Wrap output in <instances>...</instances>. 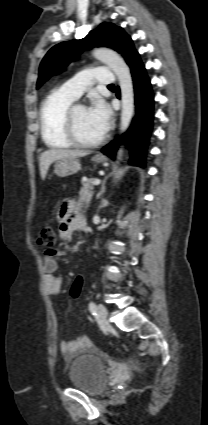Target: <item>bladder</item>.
<instances>
[{
  "label": "bladder",
  "mask_w": 208,
  "mask_h": 425,
  "mask_svg": "<svg viewBox=\"0 0 208 425\" xmlns=\"http://www.w3.org/2000/svg\"><path fill=\"white\" fill-rule=\"evenodd\" d=\"M68 381L86 394H100L107 385L106 358L92 350L83 351L71 363Z\"/></svg>",
  "instance_id": "bladder-1"
}]
</instances>
